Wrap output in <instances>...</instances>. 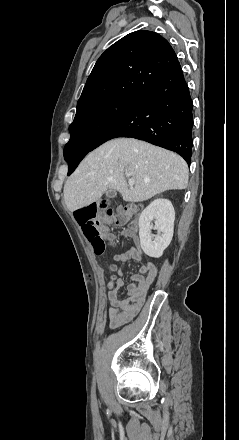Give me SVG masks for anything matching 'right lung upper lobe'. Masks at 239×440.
I'll list each match as a JSON object with an SVG mask.
<instances>
[{
    "mask_svg": "<svg viewBox=\"0 0 239 440\" xmlns=\"http://www.w3.org/2000/svg\"><path fill=\"white\" fill-rule=\"evenodd\" d=\"M178 63L174 50L162 36L151 31L132 32L97 60L77 103V112L117 96L136 98Z\"/></svg>",
    "mask_w": 239,
    "mask_h": 440,
    "instance_id": "right-lung-upper-lobe-1",
    "label": "right lung upper lobe"
}]
</instances>
